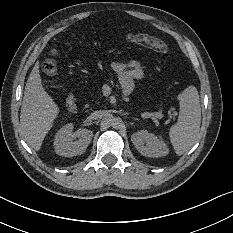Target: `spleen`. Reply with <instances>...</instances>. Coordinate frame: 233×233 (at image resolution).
I'll list each match as a JSON object with an SVG mask.
<instances>
[{
    "label": "spleen",
    "mask_w": 233,
    "mask_h": 233,
    "mask_svg": "<svg viewBox=\"0 0 233 233\" xmlns=\"http://www.w3.org/2000/svg\"><path fill=\"white\" fill-rule=\"evenodd\" d=\"M180 115L177 123L170 128V139L177 154L190 150L199 138L201 109L198 90L195 86L186 87L177 96Z\"/></svg>",
    "instance_id": "spleen-1"
}]
</instances>
